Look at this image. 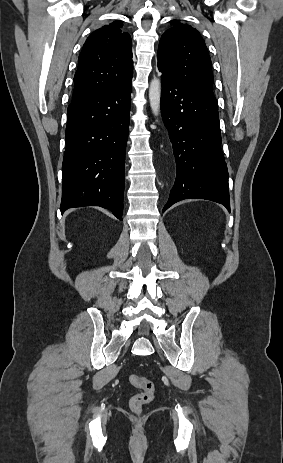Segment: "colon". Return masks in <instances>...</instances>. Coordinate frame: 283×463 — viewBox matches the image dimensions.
I'll use <instances>...</instances> for the list:
<instances>
[{
	"instance_id": "obj_1",
	"label": "colon",
	"mask_w": 283,
	"mask_h": 463,
	"mask_svg": "<svg viewBox=\"0 0 283 463\" xmlns=\"http://www.w3.org/2000/svg\"><path fill=\"white\" fill-rule=\"evenodd\" d=\"M131 384L137 387L140 392L134 395L130 400V408L134 413H140L142 408L151 403L156 394L154 383L147 377L130 375Z\"/></svg>"
}]
</instances>
